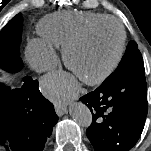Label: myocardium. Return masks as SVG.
I'll list each match as a JSON object with an SVG mask.
<instances>
[{"mask_svg": "<svg viewBox=\"0 0 151 151\" xmlns=\"http://www.w3.org/2000/svg\"><path fill=\"white\" fill-rule=\"evenodd\" d=\"M105 23H113L116 25V27L119 30L120 38H119V46H118L117 54L113 59V61L110 63V65L106 69H104L101 73L91 78L82 80L87 85H98L103 83L114 73V71L121 63L124 56V52L126 48V40H127L126 30L123 23L119 19L113 16H106L101 19H98L92 22L91 24H89L88 26H86L78 35H76L73 39L67 42L62 48V56H63L64 63L66 67L72 70V65L70 61L71 52L75 48L80 46L94 29Z\"/></svg>", "mask_w": 151, "mask_h": 151, "instance_id": "f54148a6", "label": "myocardium"}]
</instances>
